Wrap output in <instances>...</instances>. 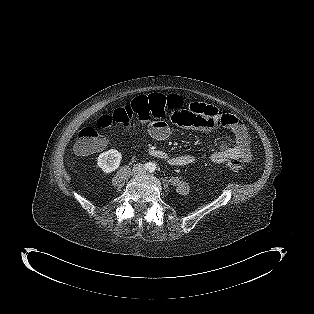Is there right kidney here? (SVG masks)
<instances>
[{"label":"right kidney","instance_id":"ca27d5eb","mask_svg":"<svg viewBox=\"0 0 314 314\" xmlns=\"http://www.w3.org/2000/svg\"><path fill=\"white\" fill-rule=\"evenodd\" d=\"M122 160V154L116 149H110L106 152H103L97 158V165L105 173H111L115 171Z\"/></svg>","mask_w":314,"mask_h":314}]
</instances>
